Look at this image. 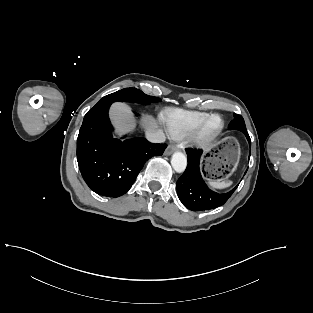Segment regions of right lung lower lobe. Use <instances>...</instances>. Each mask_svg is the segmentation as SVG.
I'll list each match as a JSON object with an SVG mask.
<instances>
[{
  "mask_svg": "<svg viewBox=\"0 0 313 313\" xmlns=\"http://www.w3.org/2000/svg\"><path fill=\"white\" fill-rule=\"evenodd\" d=\"M111 104L98 103L85 115L77 138V161L92 191L119 197L131 188L144 163L162 155L167 145L153 144L145 138H113L108 117Z\"/></svg>",
  "mask_w": 313,
  "mask_h": 313,
  "instance_id": "98d812e1",
  "label": "right lung lower lobe"
}]
</instances>
